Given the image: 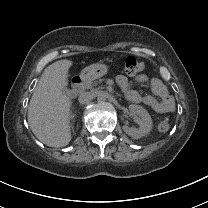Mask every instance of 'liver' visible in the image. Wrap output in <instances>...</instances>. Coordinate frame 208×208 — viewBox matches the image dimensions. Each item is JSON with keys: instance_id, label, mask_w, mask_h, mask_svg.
Wrapping results in <instances>:
<instances>
[{"instance_id": "1", "label": "liver", "mask_w": 208, "mask_h": 208, "mask_svg": "<svg viewBox=\"0 0 208 208\" xmlns=\"http://www.w3.org/2000/svg\"><path fill=\"white\" fill-rule=\"evenodd\" d=\"M72 61L59 60L45 68L28 106V123L34 135L50 147H64L71 140V100L64 89Z\"/></svg>"}]
</instances>
